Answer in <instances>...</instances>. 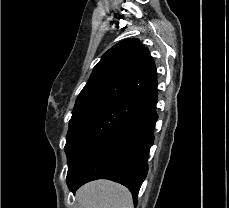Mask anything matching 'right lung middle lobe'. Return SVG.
Here are the masks:
<instances>
[{
	"label": "right lung middle lobe",
	"mask_w": 229,
	"mask_h": 208,
	"mask_svg": "<svg viewBox=\"0 0 229 208\" xmlns=\"http://www.w3.org/2000/svg\"><path fill=\"white\" fill-rule=\"evenodd\" d=\"M146 106L117 96L88 101L74 107L66 137L68 172L106 136L142 112Z\"/></svg>",
	"instance_id": "right-lung-middle-lobe-1"
}]
</instances>
